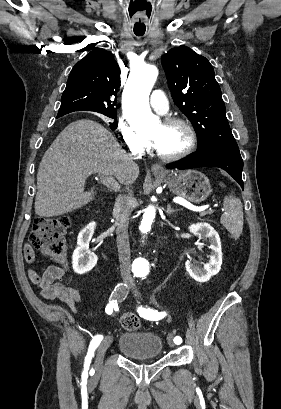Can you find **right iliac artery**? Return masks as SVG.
<instances>
[{"label": "right iliac artery", "mask_w": 281, "mask_h": 409, "mask_svg": "<svg viewBox=\"0 0 281 409\" xmlns=\"http://www.w3.org/2000/svg\"><path fill=\"white\" fill-rule=\"evenodd\" d=\"M127 285L120 283L115 287V290L112 294V299L109 301V303L107 304L105 311L107 314H112L113 312V308H115L117 305V302H121L123 300H125V298L127 297ZM103 336L102 335H97L95 336L89 346V350L87 353V356L85 358V365H84V372H83V377H87V371L89 369V365L91 362V359L94 355V351L95 349L98 347V345L100 344V342L102 341Z\"/></svg>", "instance_id": "1"}]
</instances>
